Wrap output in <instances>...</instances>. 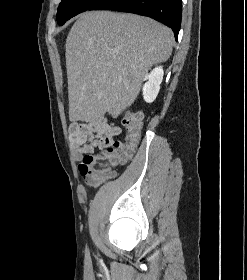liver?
<instances>
[{
    "label": "liver",
    "mask_w": 247,
    "mask_h": 280,
    "mask_svg": "<svg viewBox=\"0 0 247 280\" xmlns=\"http://www.w3.org/2000/svg\"><path fill=\"white\" fill-rule=\"evenodd\" d=\"M173 41L170 28L148 17L80 14L65 46L70 121L94 123L131 106L148 70L170 57Z\"/></svg>",
    "instance_id": "obj_1"
}]
</instances>
